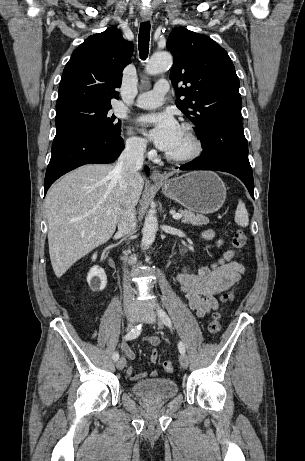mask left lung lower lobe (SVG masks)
<instances>
[{
    "instance_id": "left-lung-lower-lobe-1",
    "label": "left lung lower lobe",
    "mask_w": 305,
    "mask_h": 461,
    "mask_svg": "<svg viewBox=\"0 0 305 461\" xmlns=\"http://www.w3.org/2000/svg\"><path fill=\"white\" fill-rule=\"evenodd\" d=\"M201 155L179 167L180 170H217L238 177L254 198L252 168L248 159V145L240 117L217 120L199 137Z\"/></svg>"
}]
</instances>
